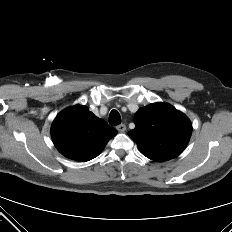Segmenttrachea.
<instances>
[{"label": "trachea", "mask_w": 232, "mask_h": 232, "mask_svg": "<svg viewBox=\"0 0 232 232\" xmlns=\"http://www.w3.org/2000/svg\"><path fill=\"white\" fill-rule=\"evenodd\" d=\"M109 123L113 126L121 123V116L117 110H112L109 115Z\"/></svg>", "instance_id": "obj_1"}]
</instances>
